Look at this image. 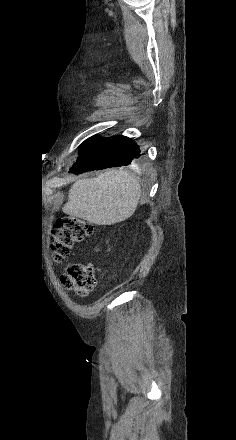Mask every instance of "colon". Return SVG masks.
<instances>
[{
    "label": "colon",
    "mask_w": 236,
    "mask_h": 440,
    "mask_svg": "<svg viewBox=\"0 0 236 440\" xmlns=\"http://www.w3.org/2000/svg\"><path fill=\"white\" fill-rule=\"evenodd\" d=\"M92 233L93 226L84 220L72 217L58 219L53 232L54 261L64 262L74 246L84 242ZM61 280L68 290L82 296L91 292L96 285L93 268L86 263L70 264Z\"/></svg>",
    "instance_id": "5ec220e1"
}]
</instances>
